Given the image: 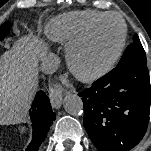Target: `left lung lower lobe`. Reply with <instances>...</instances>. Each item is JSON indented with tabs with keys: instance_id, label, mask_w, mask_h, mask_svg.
<instances>
[{
	"instance_id": "0a47b994",
	"label": "left lung lower lobe",
	"mask_w": 151,
	"mask_h": 151,
	"mask_svg": "<svg viewBox=\"0 0 151 151\" xmlns=\"http://www.w3.org/2000/svg\"><path fill=\"white\" fill-rule=\"evenodd\" d=\"M147 62L118 66L79 93L84 127L99 151H125L143 138L151 90Z\"/></svg>"
}]
</instances>
